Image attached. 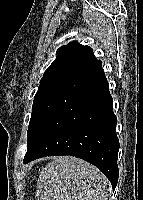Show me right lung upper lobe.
<instances>
[{
  "label": "right lung upper lobe",
  "instance_id": "cb5924a9",
  "mask_svg": "<svg viewBox=\"0 0 143 200\" xmlns=\"http://www.w3.org/2000/svg\"><path fill=\"white\" fill-rule=\"evenodd\" d=\"M96 61L91 47L73 41L57 50L56 59L47 68L42 79L66 78Z\"/></svg>",
  "mask_w": 143,
  "mask_h": 200
}]
</instances>
